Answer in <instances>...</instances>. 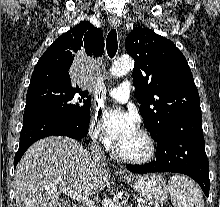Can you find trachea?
Returning <instances> with one entry per match:
<instances>
[{"instance_id": "trachea-1", "label": "trachea", "mask_w": 220, "mask_h": 207, "mask_svg": "<svg viewBox=\"0 0 220 207\" xmlns=\"http://www.w3.org/2000/svg\"><path fill=\"white\" fill-rule=\"evenodd\" d=\"M106 49L109 57L113 58L118 49L117 32L115 29H112L107 35Z\"/></svg>"}]
</instances>
